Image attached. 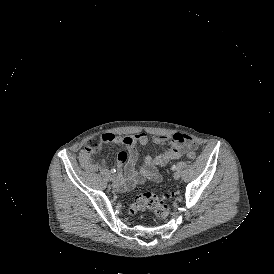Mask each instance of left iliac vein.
<instances>
[{"label": "left iliac vein", "instance_id": "1", "mask_svg": "<svg viewBox=\"0 0 274 274\" xmlns=\"http://www.w3.org/2000/svg\"><path fill=\"white\" fill-rule=\"evenodd\" d=\"M174 179H179L180 178V174L178 172H175L173 175Z\"/></svg>", "mask_w": 274, "mask_h": 274}]
</instances>
